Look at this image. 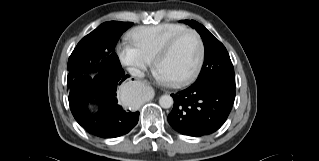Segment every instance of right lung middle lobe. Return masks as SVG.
<instances>
[{
  "instance_id": "dd1d6c3e",
  "label": "right lung middle lobe",
  "mask_w": 319,
  "mask_h": 161,
  "mask_svg": "<svg viewBox=\"0 0 319 161\" xmlns=\"http://www.w3.org/2000/svg\"><path fill=\"white\" fill-rule=\"evenodd\" d=\"M132 25L131 22H105L77 44L67 65L69 92L78 83L87 81V76L92 73L118 64L119 59L114 52L116 43Z\"/></svg>"
}]
</instances>
